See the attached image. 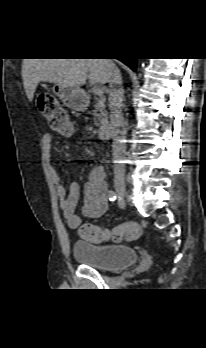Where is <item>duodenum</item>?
<instances>
[{
	"instance_id": "1",
	"label": "duodenum",
	"mask_w": 206,
	"mask_h": 348,
	"mask_svg": "<svg viewBox=\"0 0 206 348\" xmlns=\"http://www.w3.org/2000/svg\"><path fill=\"white\" fill-rule=\"evenodd\" d=\"M113 133V126L109 123L103 124L98 132L99 137L103 139H108L112 136Z\"/></svg>"
}]
</instances>
